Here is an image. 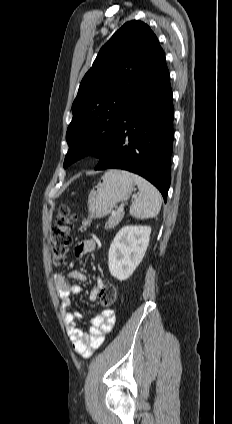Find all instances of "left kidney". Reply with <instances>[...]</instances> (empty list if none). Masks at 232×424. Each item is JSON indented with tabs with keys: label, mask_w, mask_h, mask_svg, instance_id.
Returning a JSON list of instances; mask_svg holds the SVG:
<instances>
[{
	"label": "left kidney",
	"mask_w": 232,
	"mask_h": 424,
	"mask_svg": "<svg viewBox=\"0 0 232 424\" xmlns=\"http://www.w3.org/2000/svg\"><path fill=\"white\" fill-rule=\"evenodd\" d=\"M151 227L128 225L122 227L113 239L108 252L111 275L127 280L142 261L149 244Z\"/></svg>",
	"instance_id": "obj_1"
}]
</instances>
